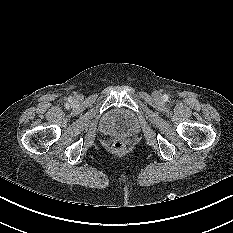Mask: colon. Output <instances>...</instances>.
Wrapping results in <instances>:
<instances>
[{"instance_id":"colon-1","label":"colon","mask_w":233,"mask_h":233,"mask_svg":"<svg viewBox=\"0 0 233 233\" xmlns=\"http://www.w3.org/2000/svg\"><path fill=\"white\" fill-rule=\"evenodd\" d=\"M112 150L115 153L120 154V153H122L125 150V145L122 142H120V141H116L112 145Z\"/></svg>"}]
</instances>
